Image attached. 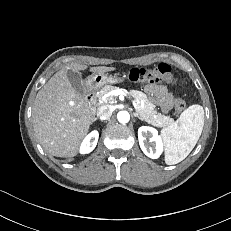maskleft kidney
<instances>
[{"label":"left kidney","mask_w":231,"mask_h":231,"mask_svg":"<svg viewBox=\"0 0 231 231\" xmlns=\"http://www.w3.org/2000/svg\"><path fill=\"white\" fill-rule=\"evenodd\" d=\"M139 145L143 153L151 159H157L163 152L162 137L158 131L149 126H142L138 129Z\"/></svg>","instance_id":"left-kidney-1"}]
</instances>
